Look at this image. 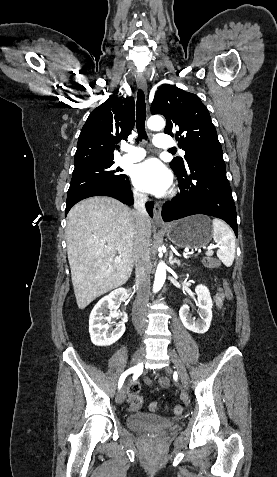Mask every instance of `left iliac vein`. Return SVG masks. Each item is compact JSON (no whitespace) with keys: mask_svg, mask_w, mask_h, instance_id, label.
<instances>
[{"mask_svg":"<svg viewBox=\"0 0 277 477\" xmlns=\"http://www.w3.org/2000/svg\"><path fill=\"white\" fill-rule=\"evenodd\" d=\"M168 354L170 356L171 362L174 364L175 368L177 369L179 379H180L183 387L187 389L188 385H189V378H188L186 369H185L181 359L179 358L177 353L173 350L169 349Z\"/></svg>","mask_w":277,"mask_h":477,"instance_id":"4c4485c4","label":"left iliac vein"}]
</instances>
